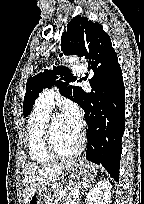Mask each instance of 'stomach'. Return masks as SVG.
<instances>
[{
	"label": "stomach",
	"mask_w": 144,
	"mask_h": 204,
	"mask_svg": "<svg viewBox=\"0 0 144 204\" xmlns=\"http://www.w3.org/2000/svg\"><path fill=\"white\" fill-rule=\"evenodd\" d=\"M97 170L94 165L78 160L68 165L58 180L39 187L30 198L28 204H52L56 202L55 195L65 188L82 189L84 184L94 180Z\"/></svg>",
	"instance_id": "1"
}]
</instances>
